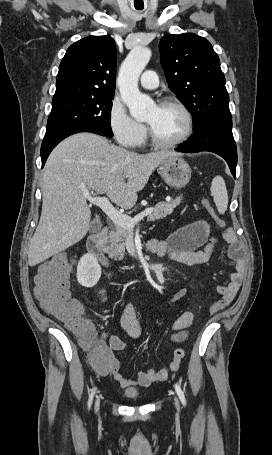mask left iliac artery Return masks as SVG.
<instances>
[{
  "instance_id": "1",
  "label": "left iliac artery",
  "mask_w": 272,
  "mask_h": 455,
  "mask_svg": "<svg viewBox=\"0 0 272 455\" xmlns=\"http://www.w3.org/2000/svg\"><path fill=\"white\" fill-rule=\"evenodd\" d=\"M175 390L178 394L179 399L181 400L182 404L185 406L186 405V399L184 396V393L178 383L175 384Z\"/></svg>"
}]
</instances>
